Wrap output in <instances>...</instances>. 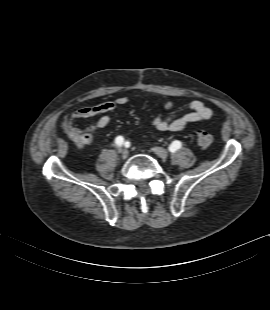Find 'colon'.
Masks as SVG:
<instances>
[{"instance_id":"colon-1","label":"colon","mask_w":270,"mask_h":310,"mask_svg":"<svg viewBox=\"0 0 270 310\" xmlns=\"http://www.w3.org/2000/svg\"><path fill=\"white\" fill-rule=\"evenodd\" d=\"M197 142L200 147L206 148L212 144L213 137L206 131H200L197 134Z\"/></svg>"}]
</instances>
